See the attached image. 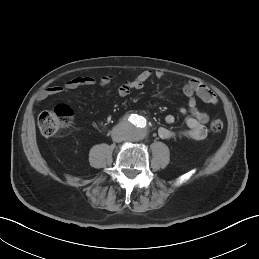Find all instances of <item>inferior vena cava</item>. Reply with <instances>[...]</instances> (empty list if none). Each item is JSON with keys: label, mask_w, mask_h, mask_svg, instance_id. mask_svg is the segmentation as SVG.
<instances>
[{"label": "inferior vena cava", "mask_w": 259, "mask_h": 259, "mask_svg": "<svg viewBox=\"0 0 259 259\" xmlns=\"http://www.w3.org/2000/svg\"><path fill=\"white\" fill-rule=\"evenodd\" d=\"M112 139L116 142H121L124 140V136L121 132L115 130L112 132Z\"/></svg>", "instance_id": "inferior-vena-cava-1"}]
</instances>
